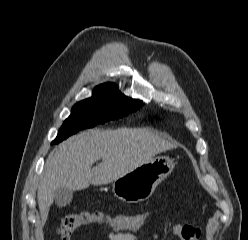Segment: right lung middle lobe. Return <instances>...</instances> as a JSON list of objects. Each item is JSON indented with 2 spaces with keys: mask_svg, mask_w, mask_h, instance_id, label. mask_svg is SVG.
Instances as JSON below:
<instances>
[{
  "mask_svg": "<svg viewBox=\"0 0 248 240\" xmlns=\"http://www.w3.org/2000/svg\"><path fill=\"white\" fill-rule=\"evenodd\" d=\"M141 105L142 101L128 98L118 89L94 90L91 98L73 106L71 115L64 121L52 144L61 142L81 129L91 128L126 116L128 113L136 111Z\"/></svg>",
  "mask_w": 248,
  "mask_h": 240,
  "instance_id": "1",
  "label": "right lung middle lobe"
}]
</instances>
